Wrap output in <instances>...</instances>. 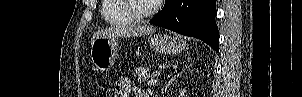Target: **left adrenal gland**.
Here are the masks:
<instances>
[{"instance_id":"1","label":"left adrenal gland","mask_w":302,"mask_h":97,"mask_svg":"<svg viewBox=\"0 0 302 97\" xmlns=\"http://www.w3.org/2000/svg\"><path fill=\"white\" fill-rule=\"evenodd\" d=\"M189 67H187L186 69H188ZM186 69H183V70H181V71H175V73H173L172 75H171V78L168 80V83L166 84V86H165V91L167 90V88L178 78V77H180L181 75H182V73H184L185 72V70Z\"/></svg>"}]
</instances>
